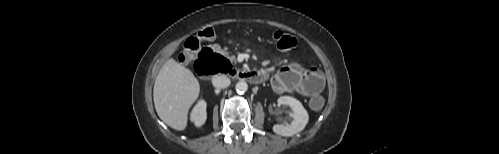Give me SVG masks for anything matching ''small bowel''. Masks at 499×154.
<instances>
[{"label":"small bowel","instance_id":"obj_1","mask_svg":"<svg viewBox=\"0 0 499 154\" xmlns=\"http://www.w3.org/2000/svg\"><path fill=\"white\" fill-rule=\"evenodd\" d=\"M268 76L267 69L261 71ZM272 89L276 93L297 92L305 97L321 93L324 87V77L315 68L304 70L299 64L291 63L284 66L271 78Z\"/></svg>","mask_w":499,"mask_h":154}]
</instances>
